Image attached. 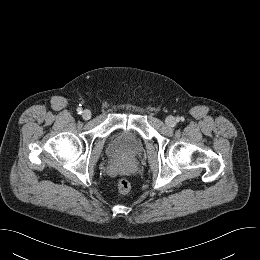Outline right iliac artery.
I'll return each instance as SVG.
<instances>
[{"mask_svg":"<svg viewBox=\"0 0 260 260\" xmlns=\"http://www.w3.org/2000/svg\"><path fill=\"white\" fill-rule=\"evenodd\" d=\"M77 113L81 114L82 113V108H77Z\"/></svg>","mask_w":260,"mask_h":260,"instance_id":"right-iliac-artery-1","label":"right iliac artery"}]
</instances>
